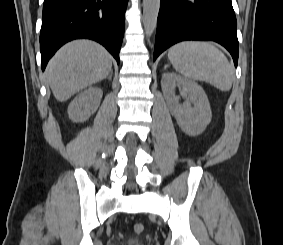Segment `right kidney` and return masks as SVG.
Returning a JSON list of instances; mask_svg holds the SVG:
<instances>
[{"label": "right kidney", "instance_id": "ca27d5eb", "mask_svg": "<svg viewBox=\"0 0 283 245\" xmlns=\"http://www.w3.org/2000/svg\"><path fill=\"white\" fill-rule=\"evenodd\" d=\"M102 90L91 87L81 92L68 106V115L73 122L86 121L98 108Z\"/></svg>", "mask_w": 283, "mask_h": 245}]
</instances>
